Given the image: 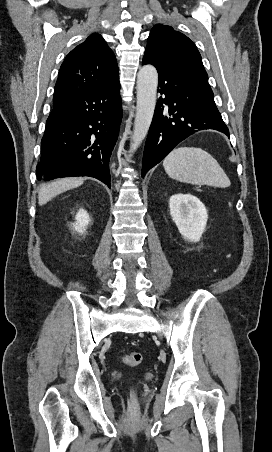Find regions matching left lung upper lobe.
I'll use <instances>...</instances> for the list:
<instances>
[{
  "instance_id": "obj_1",
  "label": "left lung upper lobe",
  "mask_w": 272,
  "mask_h": 452,
  "mask_svg": "<svg viewBox=\"0 0 272 452\" xmlns=\"http://www.w3.org/2000/svg\"><path fill=\"white\" fill-rule=\"evenodd\" d=\"M144 56L158 65L180 69L208 83V75L196 46L171 26L157 24L152 28Z\"/></svg>"
}]
</instances>
